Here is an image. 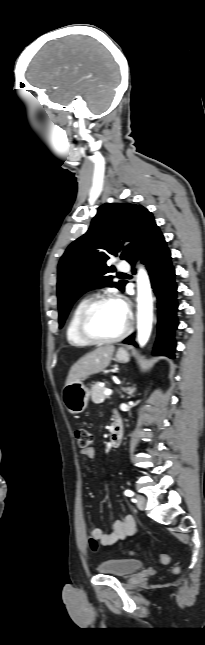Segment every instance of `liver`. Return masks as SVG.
I'll return each mask as SVG.
<instances>
[{
	"label": "liver",
	"mask_w": 205,
	"mask_h": 645,
	"mask_svg": "<svg viewBox=\"0 0 205 645\" xmlns=\"http://www.w3.org/2000/svg\"><path fill=\"white\" fill-rule=\"evenodd\" d=\"M115 347L102 346L80 358L70 369L66 385L100 373L110 364Z\"/></svg>",
	"instance_id": "1"
}]
</instances>
